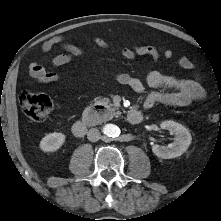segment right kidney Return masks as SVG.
Masks as SVG:
<instances>
[{
  "instance_id": "1",
  "label": "right kidney",
  "mask_w": 221,
  "mask_h": 221,
  "mask_svg": "<svg viewBox=\"0 0 221 221\" xmlns=\"http://www.w3.org/2000/svg\"><path fill=\"white\" fill-rule=\"evenodd\" d=\"M65 142V135L62 133H49L40 141V149L44 152H54Z\"/></svg>"
}]
</instances>
